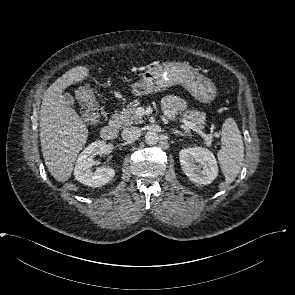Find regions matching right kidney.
<instances>
[{"mask_svg":"<svg viewBox=\"0 0 295 295\" xmlns=\"http://www.w3.org/2000/svg\"><path fill=\"white\" fill-rule=\"evenodd\" d=\"M104 141H95L87 146L79 155L74 168V176L80 183L90 187H100L111 181L115 176V170L110 167H98L95 171L94 157L107 152Z\"/></svg>","mask_w":295,"mask_h":295,"instance_id":"obj_1","label":"right kidney"}]
</instances>
